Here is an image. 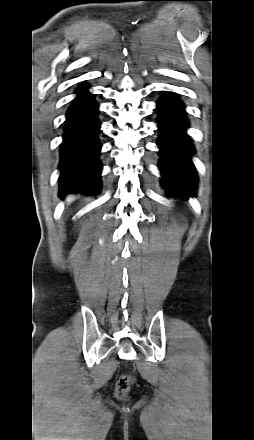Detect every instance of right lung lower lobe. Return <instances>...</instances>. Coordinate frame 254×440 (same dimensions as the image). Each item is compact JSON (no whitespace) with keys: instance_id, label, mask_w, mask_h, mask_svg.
Masks as SVG:
<instances>
[{"instance_id":"1","label":"right lung lower lobe","mask_w":254,"mask_h":440,"mask_svg":"<svg viewBox=\"0 0 254 440\" xmlns=\"http://www.w3.org/2000/svg\"><path fill=\"white\" fill-rule=\"evenodd\" d=\"M87 89L80 86L66 113L59 164L61 198L68 192L94 194L101 189L98 105Z\"/></svg>"}]
</instances>
